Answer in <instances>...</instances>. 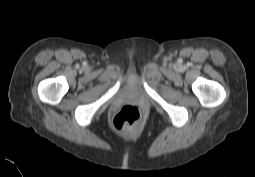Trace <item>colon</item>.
Instances as JSON below:
<instances>
[{
	"instance_id": "obj_1",
	"label": "colon",
	"mask_w": 255,
	"mask_h": 177,
	"mask_svg": "<svg viewBox=\"0 0 255 177\" xmlns=\"http://www.w3.org/2000/svg\"><path fill=\"white\" fill-rule=\"evenodd\" d=\"M141 114L136 106L123 107L114 117L113 125L119 130L131 128L140 122Z\"/></svg>"
}]
</instances>
